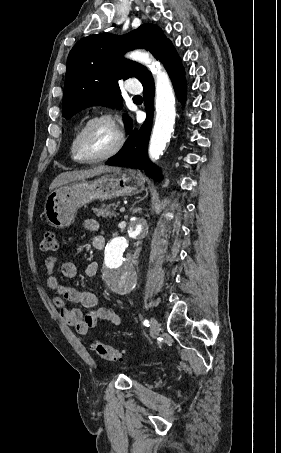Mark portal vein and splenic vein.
Here are the masks:
<instances>
[{
    "instance_id": "18ae733b",
    "label": "portal vein and splenic vein",
    "mask_w": 281,
    "mask_h": 453,
    "mask_svg": "<svg viewBox=\"0 0 281 453\" xmlns=\"http://www.w3.org/2000/svg\"><path fill=\"white\" fill-rule=\"evenodd\" d=\"M120 212H125V208H120Z\"/></svg>"
}]
</instances>
